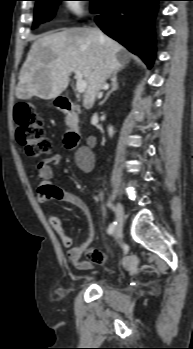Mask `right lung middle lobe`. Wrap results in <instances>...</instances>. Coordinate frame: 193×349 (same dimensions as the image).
I'll use <instances>...</instances> for the list:
<instances>
[{
  "label": "right lung middle lobe",
  "instance_id": "right-lung-middle-lobe-1",
  "mask_svg": "<svg viewBox=\"0 0 193 349\" xmlns=\"http://www.w3.org/2000/svg\"><path fill=\"white\" fill-rule=\"evenodd\" d=\"M35 13L33 25H38L49 21L55 15L58 4L64 0H35ZM91 2V10L95 7L98 0H86Z\"/></svg>",
  "mask_w": 193,
  "mask_h": 349
}]
</instances>
